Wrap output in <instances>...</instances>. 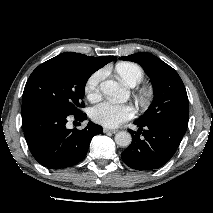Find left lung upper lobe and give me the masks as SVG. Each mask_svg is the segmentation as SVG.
I'll list each match as a JSON object with an SVG mask.
<instances>
[{"instance_id":"5c2ea615","label":"left lung upper lobe","mask_w":213,"mask_h":213,"mask_svg":"<svg viewBox=\"0 0 213 213\" xmlns=\"http://www.w3.org/2000/svg\"><path fill=\"white\" fill-rule=\"evenodd\" d=\"M140 64L150 76L154 99L136 121L139 123L173 122L187 128L189 104L185 86L178 73L158 57L140 52L120 57Z\"/></svg>"}]
</instances>
